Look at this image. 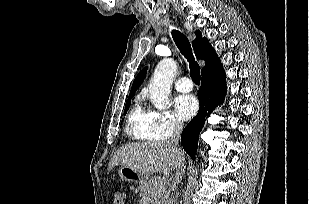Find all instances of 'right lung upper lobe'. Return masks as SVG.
<instances>
[{
  "label": "right lung upper lobe",
  "instance_id": "cb5924a9",
  "mask_svg": "<svg viewBox=\"0 0 309 204\" xmlns=\"http://www.w3.org/2000/svg\"><path fill=\"white\" fill-rule=\"evenodd\" d=\"M192 46H193L196 57L198 59H203L206 63L205 66L202 68V74L212 71L222 66L212 46L210 45V43L205 37L202 38L200 31L196 32V39L192 42ZM146 70L147 68H144L135 78L129 98L133 97L134 92L137 90V88L140 86V84L144 80L145 75H146Z\"/></svg>",
  "mask_w": 309,
  "mask_h": 204
}]
</instances>
